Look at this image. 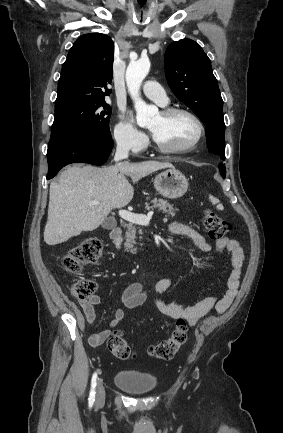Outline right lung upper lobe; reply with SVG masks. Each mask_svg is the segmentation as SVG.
I'll return each mask as SVG.
<instances>
[{"mask_svg": "<svg viewBox=\"0 0 283 433\" xmlns=\"http://www.w3.org/2000/svg\"><path fill=\"white\" fill-rule=\"evenodd\" d=\"M114 44L101 33L80 36L70 49L58 82L55 111L105 100L111 94Z\"/></svg>", "mask_w": 283, "mask_h": 433, "instance_id": "1", "label": "right lung upper lobe"}]
</instances>
